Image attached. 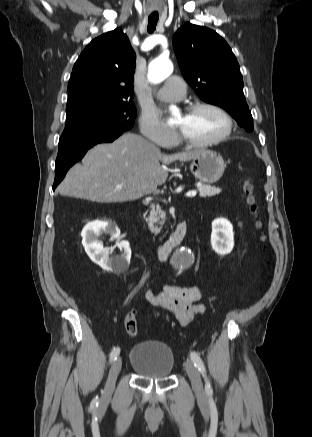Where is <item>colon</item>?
Segmentation results:
<instances>
[{
    "label": "colon",
    "instance_id": "5ec220e1",
    "mask_svg": "<svg viewBox=\"0 0 312 437\" xmlns=\"http://www.w3.org/2000/svg\"><path fill=\"white\" fill-rule=\"evenodd\" d=\"M243 191L245 194L246 202L252 214L255 215L256 226H260L259 218L257 217L258 207L253 195V186L250 180H246L243 184ZM124 326L127 333L131 336H136L138 333L137 319L133 312L128 313L124 318Z\"/></svg>",
    "mask_w": 312,
    "mask_h": 437
}]
</instances>
